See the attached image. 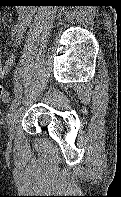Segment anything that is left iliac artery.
I'll return each instance as SVG.
<instances>
[{
    "instance_id": "obj_1",
    "label": "left iliac artery",
    "mask_w": 121,
    "mask_h": 197,
    "mask_svg": "<svg viewBox=\"0 0 121 197\" xmlns=\"http://www.w3.org/2000/svg\"><path fill=\"white\" fill-rule=\"evenodd\" d=\"M25 66V59H21L17 64L14 71V89H15V97L9 109V114L20 104L22 99V73Z\"/></svg>"
}]
</instances>
